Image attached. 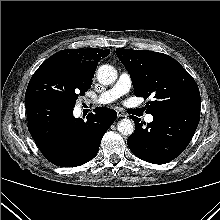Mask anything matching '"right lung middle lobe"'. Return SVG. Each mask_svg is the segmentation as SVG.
Masks as SVG:
<instances>
[{"mask_svg":"<svg viewBox=\"0 0 220 220\" xmlns=\"http://www.w3.org/2000/svg\"><path fill=\"white\" fill-rule=\"evenodd\" d=\"M92 77L70 63L45 61L33 74L25 98H52L74 107L78 96L91 88Z\"/></svg>","mask_w":220,"mask_h":220,"instance_id":"obj_1","label":"right lung middle lobe"}]
</instances>
